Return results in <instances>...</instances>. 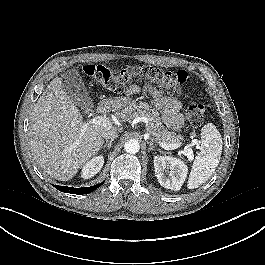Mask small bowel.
<instances>
[{
  "mask_svg": "<svg viewBox=\"0 0 265 265\" xmlns=\"http://www.w3.org/2000/svg\"><path fill=\"white\" fill-rule=\"evenodd\" d=\"M140 92L147 93L151 99L152 104L162 111L163 122L169 129H181L184 118L181 113V103L177 99L162 96L156 90L148 86L140 87L138 85H132L127 90V93L130 95Z\"/></svg>",
  "mask_w": 265,
  "mask_h": 265,
  "instance_id": "1",
  "label": "small bowel"
}]
</instances>
